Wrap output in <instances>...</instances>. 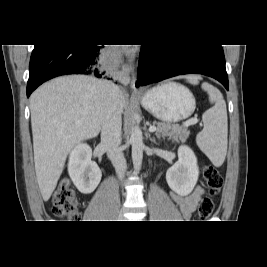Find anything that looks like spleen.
<instances>
[{
	"label": "spleen",
	"mask_w": 267,
	"mask_h": 267,
	"mask_svg": "<svg viewBox=\"0 0 267 267\" xmlns=\"http://www.w3.org/2000/svg\"><path fill=\"white\" fill-rule=\"evenodd\" d=\"M192 84H198L194 78L188 79ZM202 89L209 95L212 108L204 112L202 120L204 128L196 136V143L201 151L219 167L223 164L227 153V109L221 92L209 83H203Z\"/></svg>",
	"instance_id": "obj_1"
}]
</instances>
